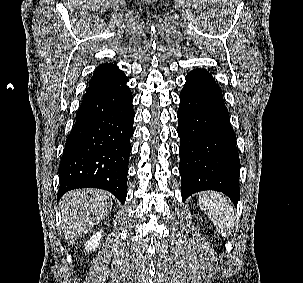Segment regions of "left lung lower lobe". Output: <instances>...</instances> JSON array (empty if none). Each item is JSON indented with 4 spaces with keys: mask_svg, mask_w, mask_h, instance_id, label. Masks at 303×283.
<instances>
[{
    "mask_svg": "<svg viewBox=\"0 0 303 283\" xmlns=\"http://www.w3.org/2000/svg\"><path fill=\"white\" fill-rule=\"evenodd\" d=\"M177 117L182 198L216 190L237 204L240 160L236 136L221 88L208 71L197 68L186 76Z\"/></svg>",
    "mask_w": 303,
    "mask_h": 283,
    "instance_id": "left-lung-lower-lobe-1",
    "label": "left lung lower lobe"
}]
</instances>
